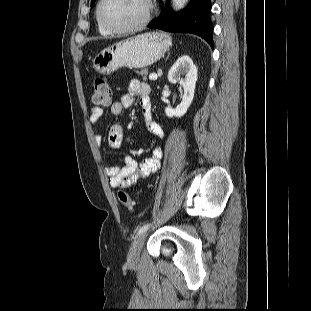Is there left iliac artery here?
<instances>
[{"label":"left iliac artery","mask_w":311,"mask_h":311,"mask_svg":"<svg viewBox=\"0 0 311 311\" xmlns=\"http://www.w3.org/2000/svg\"><path fill=\"white\" fill-rule=\"evenodd\" d=\"M150 227V224L147 223V224H144L143 226H141L138 230V235L146 232L148 230V228Z\"/></svg>","instance_id":"obj_1"}]
</instances>
